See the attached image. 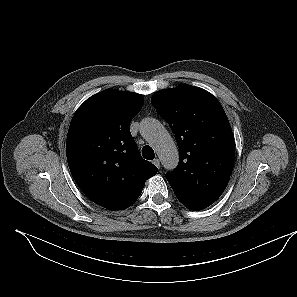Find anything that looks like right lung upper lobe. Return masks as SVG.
<instances>
[{
  "instance_id": "1",
  "label": "right lung upper lobe",
  "mask_w": 297,
  "mask_h": 297,
  "mask_svg": "<svg viewBox=\"0 0 297 297\" xmlns=\"http://www.w3.org/2000/svg\"><path fill=\"white\" fill-rule=\"evenodd\" d=\"M143 103L140 94L106 89L87 99L70 123L71 174L89 199L109 210L131 206L158 171L141 157L129 130Z\"/></svg>"
}]
</instances>
